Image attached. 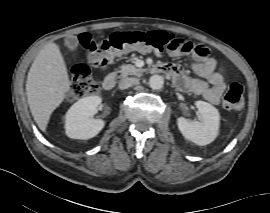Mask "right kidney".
<instances>
[{
	"instance_id": "1",
	"label": "right kidney",
	"mask_w": 270,
	"mask_h": 213,
	"mask_svg": "<svg viewBox=\"0 0 270 213\" xmlns=\"http://www.w3.org/2000/svg\"><path fill=\"white\" fill-rule=\"evenodd\" d=\"M101 103L99 96H89L74 103L65 115V133L69 138L86 140L95 137L105 126L102 119H94Z\"/></svg>"
}]
</instances>
